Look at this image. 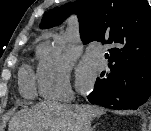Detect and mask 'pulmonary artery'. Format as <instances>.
Masks as SVG:
<instances>
[{
    "label": "pulmonary artery",
    "mask_w": 151,
    "mask_h": 131,
    "mask_svg": "<svg viewBox=\"0 0 151 131\" xmlns=\"http://www.w3.org/2000/svg\"><path fill=\"white\" fill-rule=\"evenodd\" d=\"M89 53L91 57L94 59L98 68L103 69L105 67V60L102 52L98 49H90Z\"/></svg>",
    "instance_id": "pulmonary-artery-1"
}]
</instances>
